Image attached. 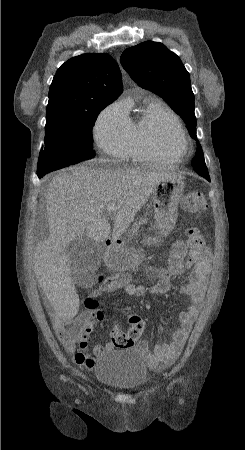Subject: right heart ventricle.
<instances>
[{
  "mask_svg": "<svg viewBox=\"0 0 245 450\" xmlns=\"http://www.w3.org/2000/svg\"><path fill=\"white\" fill-rule=\"evenodd\" d=\"M128 115V112H127ZM176 114L160 99L149 96L144 99L141 111L130 121L128 157L134 162L158 161L174 162L177 159L169 152L161 149L156 141L157 126L160 121Z\"/></svg>",
  "mask_w": 245,
  "mask_h": 450,
  "instance_id": "right-heart-ventricle-1",
  "label": "right heart ventricle"
}]
</instances>
